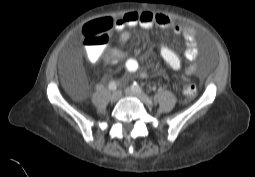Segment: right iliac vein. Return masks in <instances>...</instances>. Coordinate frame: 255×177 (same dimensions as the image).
Segmentation results:
<instances>
[{"label":"right iliac vein","instance_id":"63e3f726","mask_svg":"<svg viewBox=\"0 0 255 177\" xmlns=\"http://www.w3.org/2000/svg\"><path fill=\"white\" fill-rule=\"evenodd\" d=\"M121 92L120 91H114L111 95V101L116 102L120 99Z\"/></svg>","mask_w":255,"mask_h":177}]
</instances>
